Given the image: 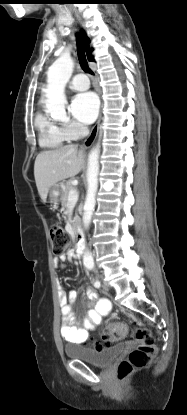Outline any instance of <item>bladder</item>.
Returning <instances> with one entry per match:
<instances>
[{"instance_id":"31cf9c89","label":"bladder","mask_w":187,"mask_h":415,"mask_svg":"<svg viewBox=\"0 0 187 415\" xmlns=\"http://www.w3.org/2000/svg\"><path fill=\"white\" fill-rule=\"evenodd\" d=\"M125 351L124 344H116L103 349H91L82 345H66L65 355L70 359H78L96 367H108L120 358Z\"/></svg>"}]
</instances>
